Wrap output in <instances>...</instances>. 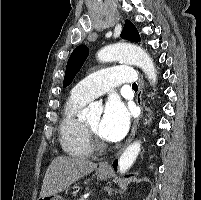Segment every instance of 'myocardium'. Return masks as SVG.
Instances as JSON below:
<instances>
[{"instance_id":"myocardium-1","label":"myocardium","mask_w":201,"mask_h":200,"mask_svg":"<svg viewBox=\"0 0 201 200\" xmlns=\"http://www.w3.org/2000/svg\"><path fill=\"white\" fill-rule=\"evenodd\" d=\"M83 129L89 146L93 149H102L105 146L104 141L87 124L83 122Z\"/></svg>"}]
</instances>
